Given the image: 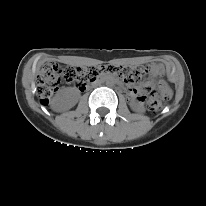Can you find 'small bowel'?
I'll list each match as a JSON object with an SVG mask.
<instances>
[{"mask_svg":"<svg viewBox=\"0 0 206 206\" xmlns=\"http://www.w3.org/2000/svg\"><path fill=\"white\" fill-rule=\"evenodd\" d=\"M163 71H164V68H163V66H162L161 64L155 65V66H153V68H152V72H153V74H155V75L162 74ZM128 93H129V95H130L131 97H134V96L138 93V90H137V89H130V90L128 91Z\"/></svg>","mask_w":206,"mask_h":206,"instance_id":"obj_1","label":"small bowel"}]
</instances>
